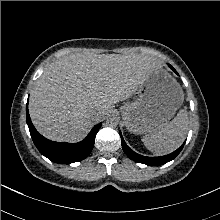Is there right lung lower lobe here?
Here are the masks:
<instances>
[{
  "label": "right lung lower lobe",
  "mask_w": 220,
  "mask_h": 220,
  "mask_svg": "<svg viewBox=\"0 0 220 220\" xmlns=\"http://www.w3.org/2000/svg\"><path fill=\"white\" fill-rule=\"evenodd\" d=\"M26 120L32 140L40 153L60 164H70L86 158L93 149L95 136L102 125V123L96 125L83 141L71 144L50 141L39 134L30 120L28 108H26Z\"/></svg>",
  "instance_id": "1"
}]
</instances>
